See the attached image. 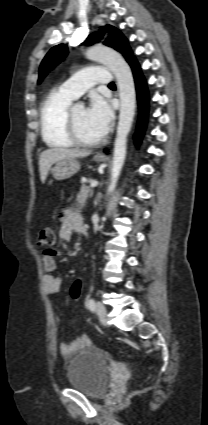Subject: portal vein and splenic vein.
<instances>
[{
    "label": "portal vein and splenic vein",
    "instance_id": "1",
    "mask_svg": "<svg viewBox=\"0 0 208 425\" xmlns=\"http://www.w3.org/2000/svg\"><path fill=\"white\" fill-rule=\"evenodd\" d=\"M98 185V181H92L91 183H90V187H92V188H94V187H96Z\"/></svg>",
    "mask_w": 208,
    "mask_h": 425
}]
</instances>
